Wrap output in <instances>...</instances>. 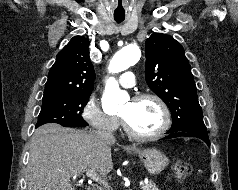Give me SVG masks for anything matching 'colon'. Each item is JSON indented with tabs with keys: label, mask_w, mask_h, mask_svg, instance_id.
I'll list each match as a JSON object with an SVG mask.
<instances>
[{
	"label": "colon",
	"mask_w": 238,
	"mask_h": 190,
	"mask_svg": "<svg viewBox=\"0 0 238 190\" xmlns=\"http://www.w3.org/2000/svg\"><path fill=\"white\" fill-rule=\"evenodd\" d=\"M171 168L177 181H184L192 173L191 165L181 160L175 161Z\"/></svg>",
	"instance_id": "1"
}]
</instances>
